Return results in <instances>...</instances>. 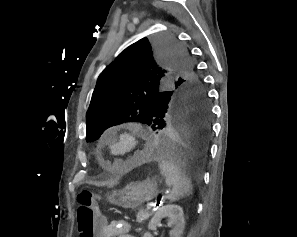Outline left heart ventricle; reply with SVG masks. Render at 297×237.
I'll return each instance as SVG.
<instances>
[{
  "mask_svg": "<svg viewBox=\"0 0 297 237\" xmlns=\"http://www.w3.org/2000/svg\"><path fill=\"white\" fill-rule=\"evenodd\" d=\"M127 149V144L125 142H118L113 145V152L115 154H121Z\"/></svg>",
  "mask_w": 297,
  "mask_h": 237,
  "instance_id": "b2bd125f",
  "label": "left heart ventricle"
}]
</instances>
